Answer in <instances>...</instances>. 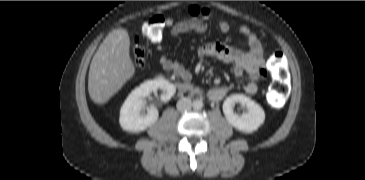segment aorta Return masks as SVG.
<instances>
[{"mask_svg":"<svg viewBox=\"0 0 365 180\" xmlns=\"http://www.w3.org/2000/svg\"><path fill=\"white\" fill-rule=\"evenodd\" d=\"M192 106L195 110H200L203 108V102L202 100H194L193 103H192Z\"/></svg>","mask_w":365,"mask_h":180,"instance_id":"obj_1","label":"aorta"}]
</instances>
